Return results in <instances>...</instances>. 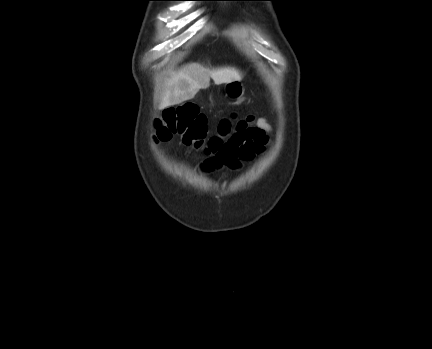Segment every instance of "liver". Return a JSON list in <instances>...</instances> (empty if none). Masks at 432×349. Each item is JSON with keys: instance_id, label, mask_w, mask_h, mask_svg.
I'll list each match as a JSON object with an SVG mask.
<instances>
[{"instance_id": "1", "label": "liver", "mask_w": 432, "mask_h": 349, "mask_svg": "<svg viewBox=\"0 0 432 349\" xmlns=\"http://www.w3.org/2000/svg\"><path fill=\"white\" fill-rule=\"evenodd\" d=\"M242 76V73L234 67L208 69L198 63L184 65L166 80L160 108L177 105L194 98L200 89L209 86L210 78L216 85H220L240 81Z\"/></svg>"}]
</instances>
